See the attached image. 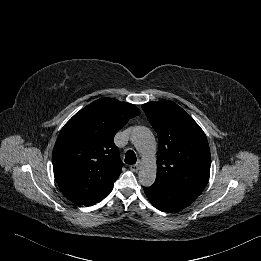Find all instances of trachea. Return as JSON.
Here are the masks:
<instances>
[{
	"instance_id": "3493384b",
	"label": "trachea",
	"mask_w": 261,
	"mask_h": 261,
	"mask_svg": "<svg viewBox=\"0 0 261 261\" xmlns=\"http://www.w3.org/2000/svg\"><path fill=\"white\" fill-rule=\"evenodd\" d=\"M136 154L133 150H128L125 154V163L129 165H133L136 163Z\"/></svg>"
}]
</instances>
